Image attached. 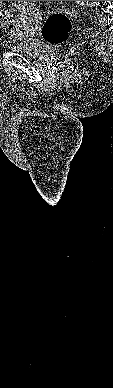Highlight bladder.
Masks as SVG:
<instances>
[{
    "label": "bladder",
    "instance_id": "1",
    "mask_svg": "<svg viewBox=\"0 0 113 388\" xmlns=\"http://www.w3.org/2000/svg\"><path fill=\"white\" fill-rule=\"evenodd\" d=\"M39 25V15L29 16L26 22L17 21L15 28L17 33L14 35L17 39H24L19 44L10 46V49L14 52L21 53L26 57L33 59L43 58L49 51V47L41 44L38 41L27 39L34 33Z\"/></svg>",
    "mask_w": 113,
    "mask_h": 388
}]
</instances>
